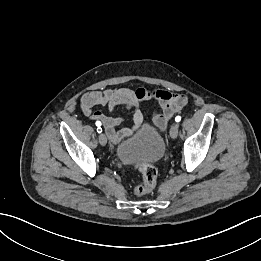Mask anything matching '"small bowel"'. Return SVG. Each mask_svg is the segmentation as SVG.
Segmentation results:
<instances>
[{
    "instance_id": "1",
    "label": "small bowel",
    "mask_w": 261,
    "mask_h": 261,
    "mask_svg": "<svg viewBox=\"0 0 261 261\" xmlns=\"http://www.w3.org/2000/svg\"><path fill=\"white\" fill-rule=\"evenodd\" d=\"M156 100L159 110L153 113V123L157 129L163 131L168 121L187 104L184 94L172 92L166 89L149 90L145 88H110L104 91H91L84 94L80 101L82 113L93 121L101 122L109 138L116 142L139 128L143 123L141 105ZM106 107L112 112L116 107L122 106L133 114V126L131 129H118L123 119L106 115L96 107Z\"/></svg>"
}]
</instances>
